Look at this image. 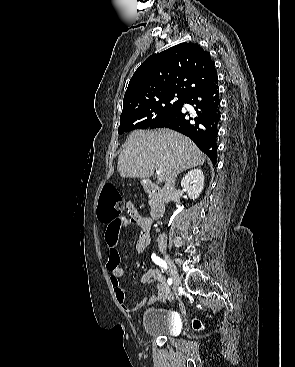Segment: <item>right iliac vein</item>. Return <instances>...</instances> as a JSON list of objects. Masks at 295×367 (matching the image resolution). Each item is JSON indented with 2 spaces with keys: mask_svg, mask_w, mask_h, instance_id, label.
<instances>
[{
  "mask_svg": "<svg viewBox=\"0 0 295 367\" xmlns=\"http://www.w3.org/2000/svg\"><path fill=\"white\" fill-rule=\"evenodd\" d=\"M161 252L163 253V256L166 260V262L169 264L170 267V275L173 281V284L175 286V288H177L180 284V278L177 272L176 267L174 266V264L171 262L169 256L167 255V253L162 249Z\"/></svg>",
  "mask_w": 295,
  "mask_h": 367,
  "instance_id": "obj_1",
  "label": "right iliac vein"
}]
</instances>
